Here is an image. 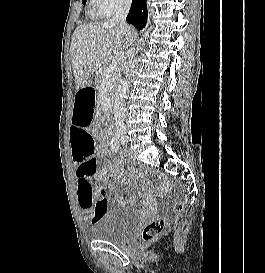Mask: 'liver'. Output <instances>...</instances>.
Instances as JSON below:
<instances>
[{
  "label": "liver",
  "mask_w": 265,
  "mask_h": 273,
  "mask_svg": "<svg viewBox=\"0 0 265 273\" xmlns=\"http://www.w3.org/2000/svg\"><path fill=\"white\" fill-rule=\"evenodd\" d=\"M132 31L110 21L79 25L71 38L70 53L76 89L84 87L91 76L112 57L124 58Z\"/></svg>",
  "instance_id": "6515ba94"
}]
</instances>
